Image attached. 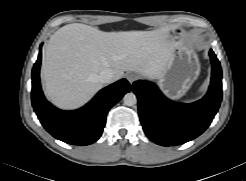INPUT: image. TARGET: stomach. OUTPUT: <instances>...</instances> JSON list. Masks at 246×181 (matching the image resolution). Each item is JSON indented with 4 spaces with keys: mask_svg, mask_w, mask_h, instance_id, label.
<instances>
[{
    "mask_svg": "<svg viewBox=\"0 0 246 181\" xmlns=\"http://www.w3.org/2000/svg\"><path fill=\"white\" fill-rule=\"evenodd\" d=\"M172 47L165 66L156 77L162 91L171 99L184 96L200 73V63L191 45L182 41L181 32H169Z\"/></svg>",
    "mask_w": 246,
    "mask_h": 181,
    "instance_id": "stomach-1",
    "label": "stomach"
}]
</instances>
